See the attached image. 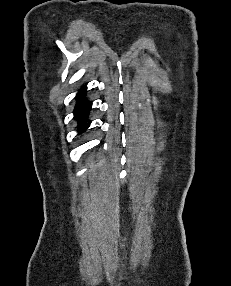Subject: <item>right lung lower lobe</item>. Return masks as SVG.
I'll list each match as a JSON object with an SVG mask.
<instances>
[{"label": "right lung lower lobe", "mask_w": 231, "mask_h": 286, "mask_svg": "<svg viewBox=\"0 0 231 286\" xmlns=\"http://www.w3.org/2000/svg\"><path fill=\"white\" fill-rule=\"evenodd\" d=\"M85 93H86V87L82 88L77 94V105L74 110V117L79 123L78 125L79 132H83L90 125V122L85 123V121L92 104L84 98Z\"/></svg>", "instance_id": "98d812e1"}]
</instances>
